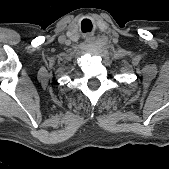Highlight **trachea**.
I'll list each match as a JSON object with an SVG mask.
<instances>
[{"instance_id":"3493384b","label":"trachea","mask_w":169,"mask_h":169,"mask_svg":"<svg viewBox=\"0 0 169 169\" xmlns=\"http://www.w3.org/2000/svg\"><path fill=\"white\" fill-rule=\"evenodd\" d=\"M85 21H88V20H84L83 22H82V31H83V33H86V32H88L87 30H86V28H85Z\"/></svg>"}]
</instances>
